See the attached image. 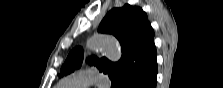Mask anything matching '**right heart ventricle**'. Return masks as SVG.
<instances>
[{
    "instance_id": "right-heart-ventricle-1",
    "label": "right heart ventricle",
    "mask_w": 223,
    "mask_h": 88,
    "mask_svg": "<svg viewBox=\"0 0 223 88\" xmlns=\"http://www.w3.org/2000/svg\"><path fill=\"white\" fill-rule=\"evenodd\" d=\"M55 88H63V87H60L59 85L57 86V87H55Z\"/></svg>"
}]
</instances>
